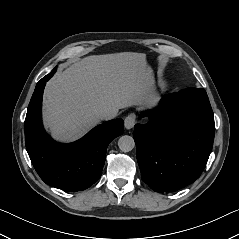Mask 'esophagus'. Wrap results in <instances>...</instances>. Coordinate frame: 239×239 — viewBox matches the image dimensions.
I'll return each mask as SVG.
<instances>
[{
    "instance_id": "34e87169",
    "label": "esophagus",
    "mask_w": 239,
    "mask_h": 239,
    "mask_svg": "<svg viewBox=\"0 0 239 239\" xmlns=\"http://www.w3.org/2000/svg\"><path fill=\"white\" fill-rule=\"evenodd\" d=\"M136 116L134 113H130L124 120V126L126 129H131L135 125Z\"/></svg>"
}]
</instances>
